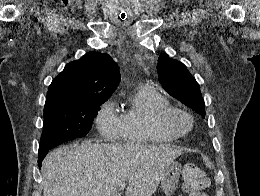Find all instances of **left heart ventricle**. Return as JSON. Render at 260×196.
I'll use <instances>...</instances> for the list:
<instances>
[{
  "label": "left heart ventricle",
  "mask_w": 260,
  "mask_h": 196,
  "mask_svg": "<svg viewBox=\"0 0 260 196\" xmlns=\"http://www.w3.org/2000/svg\"><path fill=\"white\" fill-rule=\"evenodd\" d=\"M159 114H160V112H159L158 110H155V111H154V120H155V121L158 119ZM176 123H177V125L180 126V127H184V125H185L184 122H183L181 119H177V120H176Z\"/></svg>",
  "instance_id": "b2bd125f"
}]
</instances>
